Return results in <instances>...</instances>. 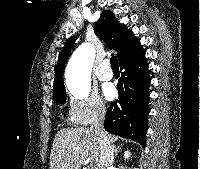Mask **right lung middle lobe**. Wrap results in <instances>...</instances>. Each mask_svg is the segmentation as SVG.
Masks as SVG:
<instances>
[{"mask_svg": "<svg viewBox=\"0 0 200 169\" xmlns=\"http://www.w3.org/2000/svg\"><path fill=\"white\" fill-rule=\"evenodd\" d=\"M55 99L60 102V103H65L66 100V93L65 92H59V93H54Z\"/></svg>", "mask_w": 200, "mask_h": 169, "instance_id": "right-lung-middle-lobe-1", "label": "right lung middle lobe"}]
</instances>
